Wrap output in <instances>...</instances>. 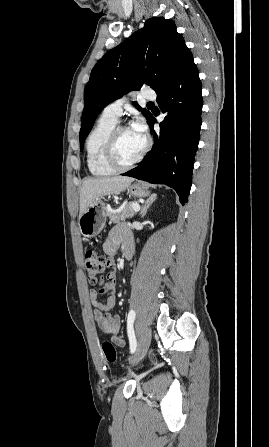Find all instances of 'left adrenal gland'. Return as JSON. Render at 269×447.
Listing matches in <instances>:
<instances>
[{
	"mask_svg": "<svg viewBox=\"0 0 269 447\" xmlns=\"http://www.w3.org/2000/svg\"><path fill=\"white\" fill-rule=\"evenodd\" d=\"M156 198H157L156 194H151V196H149L148 200H146L145 204H143L141 208V212L139 214L141 218H144V216H146L148 208H150L151 204L155 202Z\"/></svg>",
	"mask_w": 269,
	"mask_h": 447,
	"instance_id": "a2214340",
	"label": "left adrenal gland"
}]
</instances>
